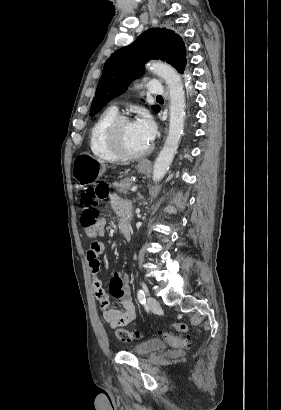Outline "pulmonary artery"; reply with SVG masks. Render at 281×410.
I'll list each match as a JSON object with an SVG mask.
<instances>
[{
	"instance_id": "obj_1",
	"label": "pulmonary artery",
	"mask_w": 281,
	"mask_h": 410,
	"mask_svg": "<svg viewBox=\"0 0 281 410\" xmlns=\"http://www.w3.org/2000/svg\"><path fill=\"white\" fill-rule=\"evenodd\" d=\"M144 88L152 94H163L164 93V88L162 87V85L156 81V80H150L148 81L145 85ZM114 110H117L116 106H112L111 107Z\"/></svg>"
}]
</instances>
